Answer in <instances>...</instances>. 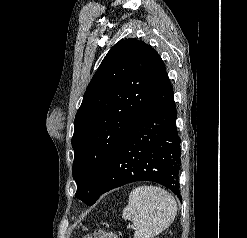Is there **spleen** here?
I'll return each mask as SVG.
<instances>
[{"mask_svg": "<svg viewBox=\"0 0 247 238\" xmlns=\"http://www.w3.org/2000/svg\"><path fill=\"white\" fill-rule=\"evenodd\" d=\"M176 214L177 203L165 189L139 186L131 191L122 217L134 224V238H154L171 225Z\"/></svg>", "mask_w": 247, "mask_h": 238, "instance_id": "obj_1", "label": "spleen"}]
</instances>
